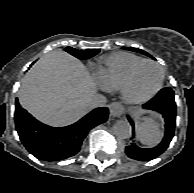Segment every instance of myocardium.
<instances>
[{"instance_id":"1","label":"myocardium","mask_w":194,"mask_h":193,"mask_svg":"<svg viewBox=\"0 0 194 193\" xmlns=\"http://www.w3.org/2000/svg\"><path fill=\"white\" fill-rule=\"evenodd\" d=\"M144 64H151V65H154L155 67H157L160 70V79H159L157 86L155 87V89L151 93L144 95V96H140V97H133V96L129 95L128 88H129L130 84L132 83L136 72ZM164 80H165V70H164L163 66L152 59H143L140 62L136 63L128 71V73L124 77L123 81L121 82L118 90H119V93H120L122 100L125 101L126 103H128V104H141V103L149 101L150 99L155 97L160 92V90L163 87Z\"/></svg>"}]
</instances>
